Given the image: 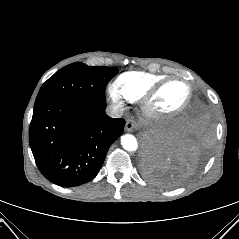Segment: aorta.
Instances as JSON below:
<instances>
[{"mask_svg": "<svg viewBox=\"0 0 239 239\" xmlns=\"http://www.w3.org/2000/svg\"><path fill=\"white\" fill-rule=\"evenodd\" d=\"M121 145L126 151H136L138 149V142L135 136L126 134L121 137Z\"/></svg>", "mask_w": 239, "mask_h": 239, "instance_id": "aorta-1", "label": "aorta"}]
</instances>
